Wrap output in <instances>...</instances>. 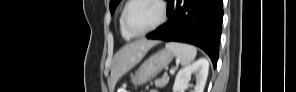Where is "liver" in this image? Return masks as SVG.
Listing matches in <instances>:
<instances>
[{"label": "liver", "instance_id": "obj_1", "mask_svg": "<svg viewBox=\"0 0 296 92\" xmlns=\"http://www.w3.org/2000/svg\"><path fill=\"white\" fill-rule=\"evenodd\" d=\"M158 43V41L139 40L125 45L116 53L111 69V92L120 77L139 63L146 53Z\"/></svg>", "mask_w": 296, "mask_h": 92}]
</instances>
